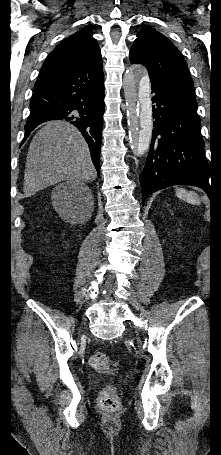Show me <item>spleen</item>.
<instances>
[{
    "label": "spleen",
    "mask_w": 221,
    "mask_h": 455,
    "mask_svg": "<svg viewBox=\"0 0 221 455\" xmlns=\"http://www.w3.org/2000/svg\"><path fill=\"white\" fill-rule=\"evenodd\" d=\"M176 195L178 198L186 201L187 203L193 204V205H200V203H201L199 196L195 192L187 191L184 188H178L176 190Z\"/></svg>",
    "instance_id": "1"
}]
</instances>
